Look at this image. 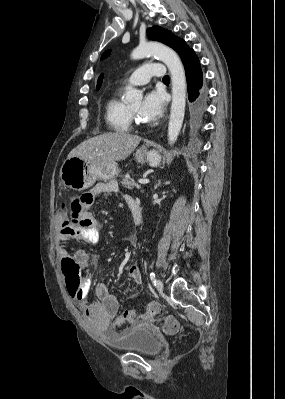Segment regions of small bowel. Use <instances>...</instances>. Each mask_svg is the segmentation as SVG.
<instances>
[{"label": "small bowel", "mask_w": 285, "mask_h": 399, "mask_svg": "<svg viewBox=\"0 0 285 399\" xmlns=\"http://www.w3.org/2000/svg\"><path fill=\"white\" fill-rule=\"evenodd\" d=\"M114 192H117V190H114ZM90 193L93 195H98L101 193V190L99 188H95L91 190ZM123 197L130 211L133 206H138L140 208L139 202L133 196L129 194H124ZM84 210L90 223L85 229H80L72 226L69 222L64 223L60 207L58 208L59 218L62 222L59 230V240L67 241L74 238H80L89 243L98 242L101 224L99 221L91 216L89 212L90 205L85 206ZM59 254L61 259L72 257L70 251L64 248L60 249ZM76 258L79 261L80 265L83 267V269L86 270L89 267L90 256L86 251L79 250L76 254ZM128 277L136 286H141L143 283V277L137 265H133L130 267ZM80 287L82 288L81 298L78 299L69 293L71 298L77 302V305L79 306L85 320L89 322L94 329L100 331L106 330L110 327L112 321L117 316V312L119 309V302L117 300V297L113 293H111L105 283L96 282L94 285V292L99 303L89 304L86 302V294L91 288L90 279L88 277L84 278V280L81 282ZM144 321L145 320H142L141 323Z\"/></svg>", "instance_id": "small-bowel-1"}]
</instances>
